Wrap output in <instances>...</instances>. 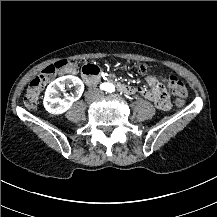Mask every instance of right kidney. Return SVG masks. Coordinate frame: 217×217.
<instances>
[{"label": "right kidney", "instance_id": "obj_1", "mask_svg": "<svg viewBox=\"0 0 217 217\" xmlns=\"http://www.w3.org/2000/svg\"><path fill=\"white\" fill-rule=\"evenodd\" d=\"M65 86L75 88V96L72 100L59 97V90H63ZM83 91L84 84L80 78L73 75L60 77L48 85L44 97V107L49 113L62 114L72 106V103L82 95Z\"/></svg>", "mask_w": 217, "mask_h": 217}]
</instances>
